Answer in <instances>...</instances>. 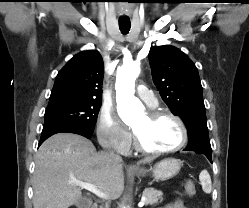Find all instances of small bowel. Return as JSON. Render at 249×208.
<instances>
[{
    "label": "small bowel",
    "instance_id": "1",
    "mask_svg": "<svg viewBox=\"0 0 249 208\" xmlns=\"http://www.w3.org/2000/svg\"><path fill=\"white\" fill-rule=\"evenodd\" d=\"M163 208H186V207L184 206L182 201L176 200L175 202L168 204L167 206H165Z\"/></svg>",
    "mask_w": 249,
    "mask_h": 208
}]
</instances>
